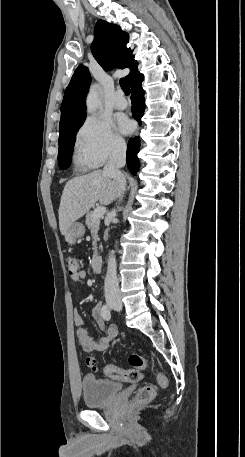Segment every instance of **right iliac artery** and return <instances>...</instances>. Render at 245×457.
Instances as JSON below:
<instances>
[{
	"label": "right iliac artery",
	"instance_id": "right-iliac-artery-1",
	"mask_svg": "<svg viewBox=\"0 0 245 457\" xmlns=\"http://www.w3.org/2000/svg\"><path fill=\"white\" fill-rule=\"evenodd\" d=\"M101 315L102 317L105 319V320H110L111 318V315H110V308L107 304H105L103 307H102V310H101Z\"/></svg>",
	"mask_w": 245,
	"mask_h": 457
}]
</instances>
